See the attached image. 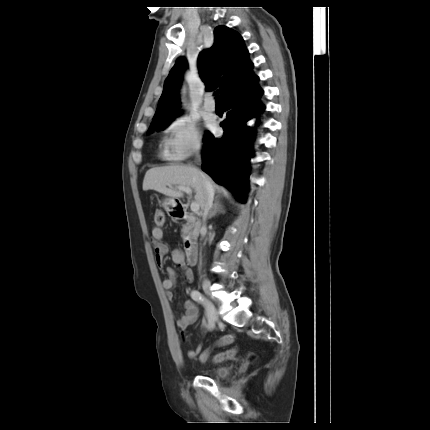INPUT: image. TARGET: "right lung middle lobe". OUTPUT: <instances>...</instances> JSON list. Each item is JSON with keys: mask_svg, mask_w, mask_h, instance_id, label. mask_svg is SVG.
Instances as JSON below:
<instances>
[{"mask_svg": "<svg viewBox=\"0 0 430 430\" xmlns=\"http://www.w3.org/2000/svg\"><path fill=\"white\" fill-rule=\"evenodd\" d=\"M173 119H174V117H172V118H170L168 120L156 123L154 125H151L150 128H149V130H148V132L151 133V130H154V129L161 130V129L166 128Z\"/></svg>", "mask_w": 430, "mask_h": 430, "instance_id": "right-lung-middle-lobe-1", "label": "right lung middle lobe"}]
</instances>
